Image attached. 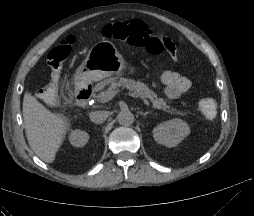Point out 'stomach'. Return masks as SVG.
<instances>
[{"mask_svg":"<svg viewBox=\"0 0 254 216\" xmlns=\"http://www.w3.org/2000/svg\"><path fill=\"white\" fill-rule=\"evenodd\" d=\"M125 66V57L115 45L108 40H102L91 47L85 60L76 71V79L101 80L120 74ZM134 72L135 69L131 67L130 73Z\"/></svg>","mask_w":254,"mask_h":216,"instance_id":"stomach-1","label":"stomach"}]
</instances>
